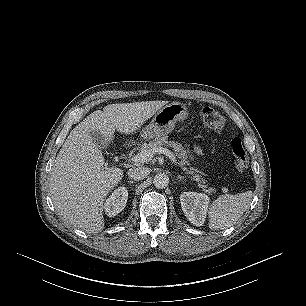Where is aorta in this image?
<instances>
[{
    "mask_svg": "<svg viewBox=\"0 0 306 306\" xmlns=\"http://www.w3.org/2000/svg\"><path fill=\"white\" fill-rule=\"evenodd\" d=\"M153 183L156 188H165L169 183V177L164 173H158L154 176Z\"/></svg>",
    "mask_w": 306,
    "mask_h": 306,
    "instance_id": "1",
    "label": "aorta"
}]
</instances>
